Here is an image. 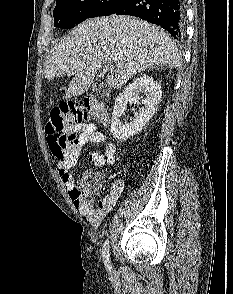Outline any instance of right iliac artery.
I'll list each match as a JSON object with an SVG mask.
<instances>
[{"instance_id":"right-iliac-artery-1","label":"right iliac artery","mask_w":233,"mask_h":294,"mask_svg":"<svg viewBox=\"0 0 233 294\" xmlns=\"http://www.w3.org/2000/svg\"><path fill=\"white\" fill-rule=\"evenodd\" d=\"M109 241L106 240L105 243H104V246H103V259H104V263H105V266H106V269L111 272V269H112V266L110 264V257H109Z\"/></svg>"}]
</instances>
